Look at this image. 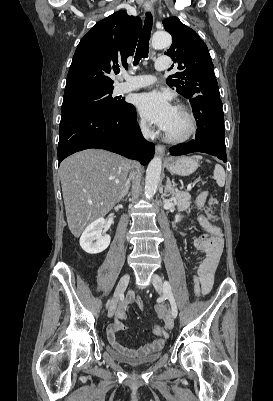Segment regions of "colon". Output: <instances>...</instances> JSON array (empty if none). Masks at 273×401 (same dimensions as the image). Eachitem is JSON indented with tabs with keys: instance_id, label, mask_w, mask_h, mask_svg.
Here are the masks:
<instances>
[{
	"instance_id": "colon-1",
	"label": "colon",
	"mask_w": 273,
	"mask_h": 401,
	"mask_svg": "<svg viewBox=\"0 0 273 401\" xmlns=\"http://www.w3.org/2000/svg\"><path fill=\"white\" fill-rule=\"evenodd\" d=\"M216 204H217V201H216V199H212L211 200V205H212V207H215L216 206ZM211 233H212V235H213V237L215 238V239H218V238H220V232H219V229L218 228H212V230H211ZM136 306H137V309L141 312V313H144L145 311H146V308L144 307V299L142 298V296L141 295H138L137 296V298H136Z\"/></svg>"
}]
</instances>
